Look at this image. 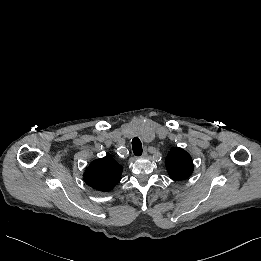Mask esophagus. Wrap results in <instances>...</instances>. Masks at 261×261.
I'll list each match as a JSON object with an SVG mask.
<instances>
[{
  "mask_svg": "<svg viewBox=\"0 0 261 261\" xmlns=\"http://www.w3.org/2000/svg\"><path fill=\"white\" fill-rule=\"evenodd\" d=\"M147 155H148L147 151H146V150H144V151H143V155H142V156H143L144 158H146V157H147Z\"/></svg>",
  "mask_w": 261,
  "mask_h": 261,
  "instance_id": "1",
  "label": "esophagus"
}]
</instances>
